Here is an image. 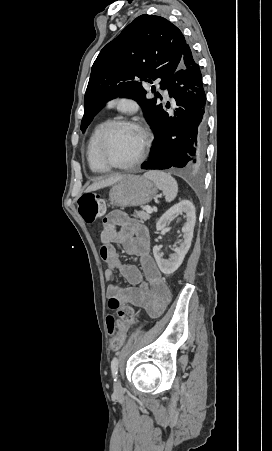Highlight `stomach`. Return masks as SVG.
<instances>
[{
    "instance_id": "1",
    "label": "stomach",
    "mask_w": 272,
    "mask_h": 451,
    "mask_svg": "<svg viewBox=\"0 0 272 451\" xmlns=\"http://www.w3.org/2000/svg\"><path fill=\"white\" fill-rule=\"evenodd\" d=\"M157 194L154 184L143 176H123L122 180L115 184L109 192V200L112 206L127 208V206H142L148 204Z\"/></svg>"
}]
</instances>
